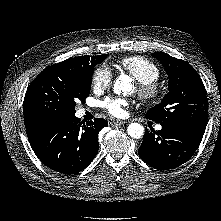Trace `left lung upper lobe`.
Instances as JSON below:
<instances>
[{"label":"left lung upper lobe","instance_id":"1","mask_svg":"<svg viewBox=\"0 0 221 221\" xmlns=\"http://www.w3.org/2000/svg\"><path fill=\"white\" fill-rule=\"evenodd\" d=\"M152 55L165 67L169 77V92L160 104L148 110L145 117L163 126L204 132L208 102L205 86L197 71L188 62L164 52Z\"/></svg>","mask_w":221,"mask_h":221}]
</instances>
